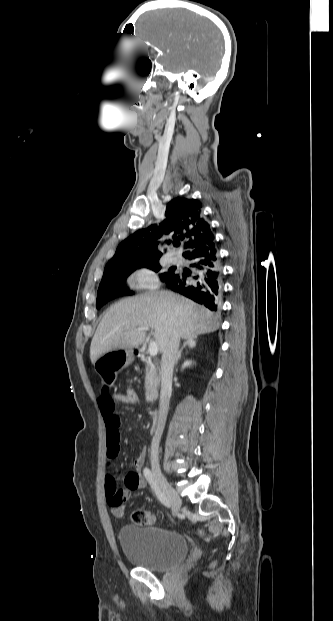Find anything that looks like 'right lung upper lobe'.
Masks as SVG:
<instances>
[{"label":"right lung upper lobe","mask_w":333,"mask_h":621,"mask_svg":"<svg viewBox=\"0 0 333 621\" xmlns=\"http://www.w3.org/2000/svg\"><path fill=\"white\" fill-rule=\"evenodd\" d=\"M201 208V203L195 199H172L167 205L165 220L159 226L150 225L125 239L106 266L160 258L162 253L157 246L163 234L174 239V246H179L185 239L183 255L214 245V235L202 217ZM167 243L170 244L171 240Z\"/></svg>","instance_id":"cb5924a9"}]
</instances>
